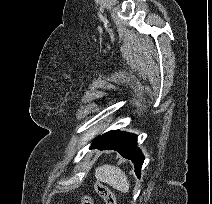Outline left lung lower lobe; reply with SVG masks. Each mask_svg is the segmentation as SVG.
<instances>
[{"instance_id": "left-lung-lower-lobe-1", "label": "left lung lower lobe", "mask_w": 212, "mask_h": 204, "mask_svg": "<svg viewBox=\"0 0 212 204\" xmlns=\"http://www.w3.org/2000/svg\"><path fill=\"white\" fill-rule=\"evenodd\" d=\"M137 145V136L131 133L110 131L99 136L90 149L116 150L122 157L131 160L135 166V173L140 177L144 156Z\"/></svg>"}]
</instances>
